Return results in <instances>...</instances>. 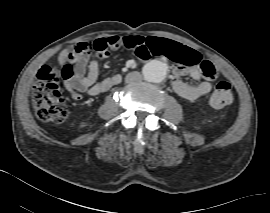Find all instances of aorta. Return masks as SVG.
<instances>
[{
    "mask_svg": "<svg viewBox=\"0 0 270 213\" xmlns=\"http://www.w3.org/2000/svg\"><path fill=\"white\" fill-rule=\"evenodd\" d=\"M168 74L167 65L159 60L149 61L143 68L145 80L152 83L162 82Z\"/></svg>",
    "mask_w": 270,
    "mask_h": 213,
    "instance_id": "762f6f07",
    "label": "aorta"
}]
</instances>
